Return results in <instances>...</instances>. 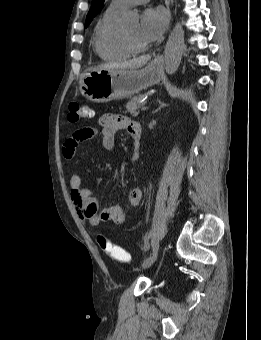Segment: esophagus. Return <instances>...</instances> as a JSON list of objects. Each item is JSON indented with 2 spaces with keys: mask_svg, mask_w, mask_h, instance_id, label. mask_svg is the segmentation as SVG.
Instances as JSON below:
<instances>
[{
  "mask_svg": "<svg viewBox=\"0 0 261 340\" xmlns=\"http://www.w3.org/2000/svg\"><path fill=\"white\" fill-rule=\"evenodd\" d=\"M165 4L167 6V8L170 10V0H165ZM162 59V55L161 54H158L155 58L156 61H159Z\"/></svg>",
  "mask_w": 261,
  "mask_h": 340,
  "instance_id": "34e87169",
  "label": "esophagus"
}]
</instances>
